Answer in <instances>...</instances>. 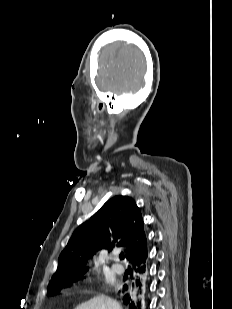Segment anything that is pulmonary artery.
<instances>
[{"mask_svg":"<svg viewBox=\"0 0 232 309\" xmlns=\"http://www.w3.org/2000/svg\"><path fill=\"white\" fill-rule=\"evenodd\" d=\"M112 269L117 274H122L125 271V267L123 265H121V264H114L112 266Z\"/></svg>","mask_w":232,"mask_h":309,"instance_id":"1","label":"pulmonary artery"}]
</instances>
